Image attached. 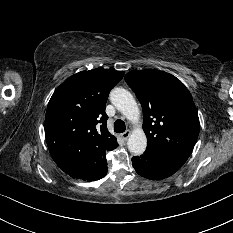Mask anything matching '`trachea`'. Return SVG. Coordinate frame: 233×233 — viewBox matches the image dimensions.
<instances>
[{
	"mask_svg": "<svg viewBox=\"0 0 233 233\" xmlns=\"http://www.w3.org/2000/svg\"><path fill=\"white\" fill-rule=\"evenodd\" d=\"M126 130V125L124 121L118 119L114 122V131L116 133H123Z\"/></svg>",
	"mask_w": 233,
	"mask_h": 233,
	"instance_id": "obj_1",
	"label": "trachea"
}]
</instances>
